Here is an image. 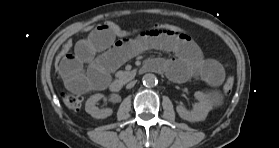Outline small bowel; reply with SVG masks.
Returning <instances> with one entry per match:
<instances>
[{
    "mask_svg": "<svg viewBox=\"0 0 279 148\" xmlns=\"http://www.w3.org/2000/svg\"><path fill=\"white\" fill-rule=\"evenodd\" d=\"M149 50H162L176 55V58H154L148 61L154 70L165 72L174 81L183 82L198 77L212 87L223 82V67L205 58L189 36L156 32L116 39L110 31L100 27L88 32L75 44L74 51L61 60L58 73L71 92L102 90L109 81L110 72Z\"/></svg>",
    "mask_w": 279,
    "mask_h": 148,
    "instance_id": "small-bowel-1",
    "label": "small bowel"
}]
</instances>
